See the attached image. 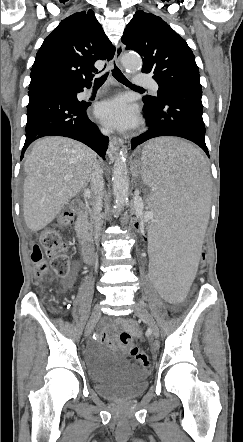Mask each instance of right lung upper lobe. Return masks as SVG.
<instances>
[{"instance_id": "1", "label": "right lung upper lobe", "mask_w": 243, "mask_h": 442, "mask_svg": "<svg viewBox=\"0 0 243 442\" xmlns=\"http://www.w3.org/2000/svg\"><path fill=\"white\" fill-rule=\"evenodd\" d=\"M115 48L92 10L62 20L46 37L31 69L29 89L57 84L82 88L91 84L97 60H111Z\"/></svg>"}]
</instances>
